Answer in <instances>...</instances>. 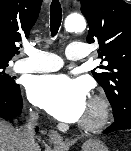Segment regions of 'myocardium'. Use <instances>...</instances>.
<instances>
[{
  "mask_svg": "<svg viewBox=\"0 0 131 151\" xmlns=\"http://www.w3.org/2000/svg\"><path fill=\"white\" fill-rule=\"evenodd\" d=\"M92 114L82 118L79 127L86 131H95L103 128L110 119V104L101 95H93L89 100Z\"/></svg>",
  "mask_w": 131,
  "mask_h": 151,
  "instance_id": "f54148a6",
  "label": "myocardium"
}]
</instances>
